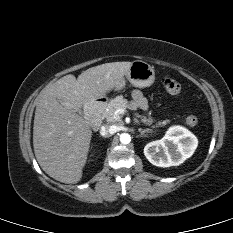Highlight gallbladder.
<instances>
[{"instance_id": "bac80fb5", "label": "gallbladder", "mask_w": 233, "mask_h": 233, "mask_svg": "<svg viewBox=\"0 0 233 233\" xmlns=\"http://www.w3.org/2000/svg\"><path fill=\"white\" fill-rule=\"evenodd\" d=\"M78 114L82 116V112L81 111H78Z\"/></svg>"}]
</instances>
